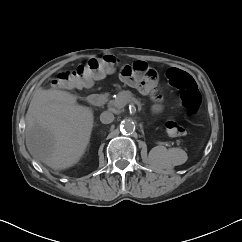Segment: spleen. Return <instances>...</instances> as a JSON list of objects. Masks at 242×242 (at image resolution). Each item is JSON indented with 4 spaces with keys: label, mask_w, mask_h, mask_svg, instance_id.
Listing matches in <instances>:
<instances>
[{
    "label": "spleen",
    "mask_w": 242,
    "mask_h": 242,
    "mask_svg": "<svg viewBox=\"0 0 242 242\" xmlns=\"http://www.w3.org/2000/svg\"><path fill=\"white\" fill-rule=\"evenodd\" d=\"M176 157V149L167 150L162 154L159 164L164 168L170 167L175 162Z\"/></svg>",
    "instance_id": "3e777b00"
}]
</instances>
